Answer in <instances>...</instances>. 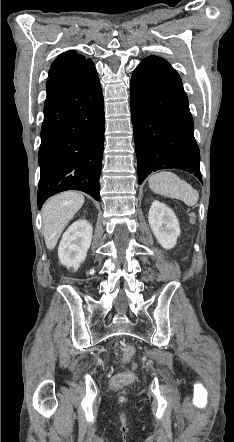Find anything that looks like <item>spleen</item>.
I'll return each mask as SVG.
<instances>
[{
  "mask_svg": "<svg viewBox=\"0 0 234 442\" xmlns=\"http://www.w3.org/2000/svg\"><path fill=\"white\" fill-rule=\"evenodd\" d=\"M148 184L154 193L182 200L187 206H194L199 198L197 190L169 171L152 174Z\"/></svg>",
  "mask_w": 234,
  "mask_h": 442,
  "instance_id": "obj_1",
  "label": "spleen"
}]
</instances>
